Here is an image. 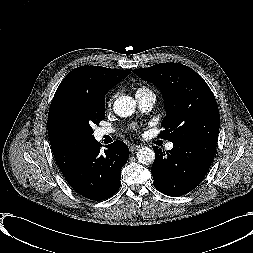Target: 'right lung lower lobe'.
Returning a JSON list of instances; mask_svg holds the SVG:
<instances>
[{
    "label": "right lung lower lobe",
    "instance_id": "98d812e1",
    "mask_svg": "<svg viewBox=\"0 0 253 253\" xmlns=\"http://www.w3.org/2000/svg\"><path fill=\"white\" fill-rule=\"evenodd\" d=\"M107 148L100 152V144L95 140L64 176L68 184L85 198L104 200L120 188L121 169L128 160L129 149L120 140Z\"/></svg>",
    "mask_w": 253,
    "mask_h": 253
}]
</instances>
